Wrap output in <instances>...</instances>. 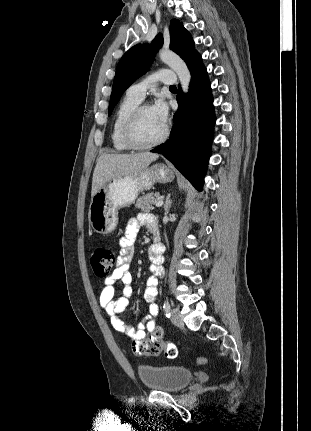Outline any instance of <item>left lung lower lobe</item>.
<instances>
[{
	"mask_svg": "<svg viewBox=\"0 0 311 431\" xmlns=\"http://www.w3.org/2000/svg\"><path fill=\"white\" fill-rule=\"evenodd\" d=\"M191 72L190 90L184 95L179 87L171 136L151 152L162 154L201 190L207 169L215 123L212 94L207 71L200 54L187 65Z\"/></svg>",
	"mask_w": 311,
	"mask_h": 431,
	"instance_id": "1",
	"label": "left lung lower lobe"
}]
</instances>
